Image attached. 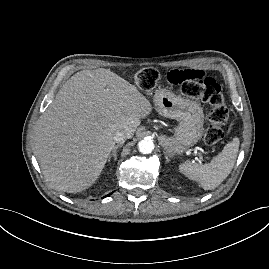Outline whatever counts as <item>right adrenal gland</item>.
I'll list each match as a JSON object with an SVG mask.
<instances>
[{"mask_svg": "<svg viewBox=\"0 0 269 269\" xmlns=\"http://www.w3.org/2000/svg\"><path fill=\"white\" fill-rule=\"evenodd\" d=\"M120 146H122V143L117 144V145L113 148V151H112V153L110 154V156H109V158H108V161H110L111 157H113V158H114V161H116V159H117V149H118Z\"/></svg>", "mask_w": 269, "mask_h": 269, "instance_id": "obj_1", "label": "right adrenal gland"}]
</instances>
